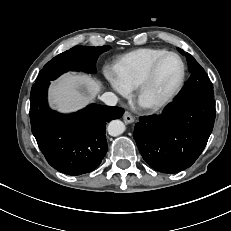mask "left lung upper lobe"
Instances as JSON below:
<instances>
[{"label":"left lung upper lobe","instance_id":"left-lung-upper-lobe-1","mask_svg":"<svg viewBox=\"0 0 231 231\" xmlns=\"http://www.w3.org/2000/svg\"><path fill=\"white\" fill-rule=\"evenodd\" d=\"M181 54H184L182 49L178 48ZM186 59L188 62V69L190 72V78L185 83L184 88L180 91L176 98L186 96H206L214 98L213 85L209 81V77L199 63L189 54L186 53Z\"/></svg>","mask_w":231,"mask_h":231}]
</instances>
